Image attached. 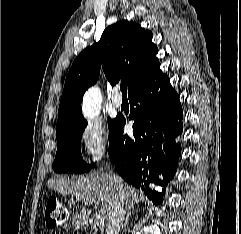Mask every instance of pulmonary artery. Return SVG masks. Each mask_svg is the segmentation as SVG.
I'll use <instances>...</instances> for the list:
<instances>
[{
  "instance_id": "e3ab8cb5",
  "label": "pulmonary artery",
  "mask_w": 241,
  "mask_h": 234,
  "mask_svg": "<svg viewBox=\"0 0 241 234\" xmlns=\"http://www.w3.org/2000/svg\"><path fill=\"white\" fill-rule=\"evenodd\" d=\"M111 102H112V105L116 108H120L122 106V97L119 95L117 88L113 92Z\"/></svg>"
}]
</instances>
